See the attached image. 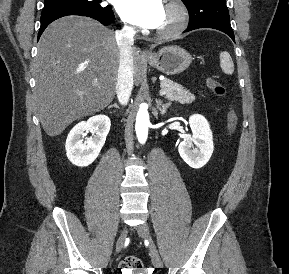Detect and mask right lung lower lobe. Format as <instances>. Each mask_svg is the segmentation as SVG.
<instances>
[{"instance_id":"1","label":"right lung lower lobe","mask_w":289,"mask_h":274,"mask_svg":"<svg viewBox=\"0 0 289 274\" xmlns=\"http://www.w3.org/2000/svg\"><path fill=\"white\" fill-rule=\"evenodd\" d=\"M68 15H79V16L90 17L95 20H98L103 25H109L114 19V14L112 11H108L105 13H97V12L88 11L84 9H78V8H68V9H61V10L50 11L47 13H42L41 26H40V30L38 33V38L41 36L42 32L51 22H53L54 20L58 18L68 16Z\"/></svg>"}]
</instances>
